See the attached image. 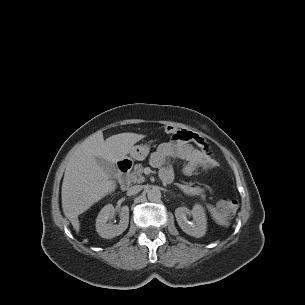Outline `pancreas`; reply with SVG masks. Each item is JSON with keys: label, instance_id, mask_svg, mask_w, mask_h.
Here are the masks:
<instances>
[{"label": "pancreas", "instance_id": "1", "mask_svg": "<svg viewBox=\"0 0 305 305\" xmlns=\"http://www.w3.org/2000/svg\"><path fill=\"white\" fill-rule=\"evenodd\" d=\"M143 166L142 164H136L134 166V170L128 175V178L130 180L131 183H143L145 178L142 175L143 173ZM179 188L186 194L189 196H194V195H201L204 192V190L200 187H190L188 185H182L179 184L178 185Z\"/></svg>", "mask_w": 305, "mask_h": 305}]
</instances>
